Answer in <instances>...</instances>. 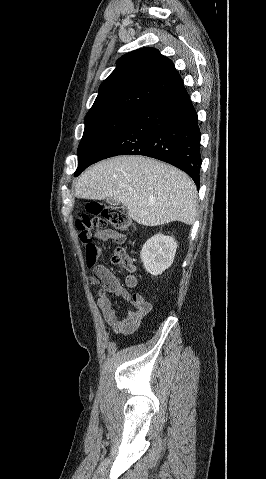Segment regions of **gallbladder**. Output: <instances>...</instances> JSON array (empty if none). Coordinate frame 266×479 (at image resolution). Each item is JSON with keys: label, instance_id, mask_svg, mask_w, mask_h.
Segmentation results:
<instances>
[{"label": "gallbladder", "instance_id": "bac80fb5", "mask_svg": "<svg viewBox=\"0 0 266 479\" xmlns=\"http://www.w3.org/2000/svg\"><path fill=\"white\" fill-rule=\"evenodd\" d=\"M106 202L111 204V205H119V202L116 200H113L111 198L106 199Z\"/></svg>", "mask_w": 266, "mask_h": 479}]
</instances>
